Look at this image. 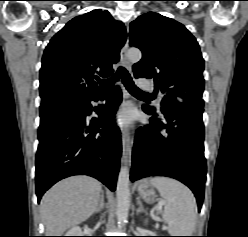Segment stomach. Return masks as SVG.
Here are the masks:
<instances>
[{
    "label": "stomach",
    "mask_w": 248,
    "mask_h": 237,
    "mask_svg": "<svg viewBox=\"0 0 248 237\" xmlns=\"http://www.w3.org/2000/svg\"><path fill=\"white\" fill-rule=\"evenodd\" d=\"M137 190L141 198L146 202L153 203L155 201L156 193L148 180L142 181Z\"/></svg>",
    "instance_id": "1"
}]
</instances>
